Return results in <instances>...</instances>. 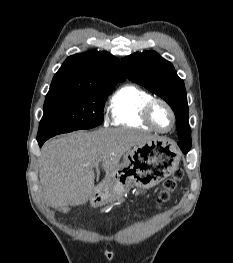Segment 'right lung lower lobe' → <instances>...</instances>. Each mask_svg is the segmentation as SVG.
Returning a JSON list of instances; mask_svg holds the SVG:
<instances>
[{"mask_svg": "<svg viewBox=\"0 0 233 263\" xmlns=\"http://www.w3.org/2000/svg\"><path fill=\"white\" fill-rule=\"evenodd\" d=\"M45 141H46V139L38 141L39 146L41 147Z\"/></svg>", "mask_w": 233, "mask_h": 263, "instance_id": "right-lung-lower-lobe-1", "label": "right lung lower lobe"}]
</instances>
